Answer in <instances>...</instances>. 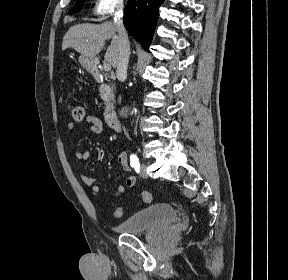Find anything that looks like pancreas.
<instances>
[{"mask_svg":"<svg viewBox=\"0 0 288 280\" xmlns=\"http://www.w3.org/2000/svg\"><path fill=\"white\" fill-rule=\"evenodd\" d=\"M99 91H100V96H101L102 100H103V101H107V99H108L109 96H110L109 90H108L106 87L101 86V87L99 88Z\"/></svg>","mask_w":288,"mask_h":280,"instance_id":"obj_1","label":"pancreas"}]
</instances>
